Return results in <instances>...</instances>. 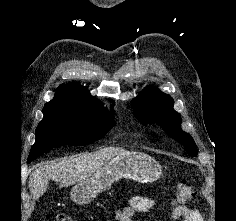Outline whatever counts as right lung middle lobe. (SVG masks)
Listing matches in <instances>:
<instances>
[{"instance_id": "dd1d6c3e", "label": "right lung middle lobe", "mask_w": 236, "mask_h": 221, "mask_svg": "<svg viewBox=\"0 0 236 221\" xmlns=\"http://www.w3.org/2000/svg\"><path fill=\"white\" fill-rule=\"evenodd\" d=\"M43 114L28 162L61 145H88L102 138L115 125L113 113L103 107L83 110L44 106Z\"/></svg>"}]
</instances>
